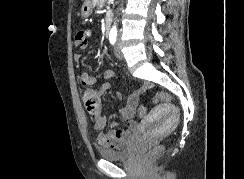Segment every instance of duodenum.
<instances>
[{
  "label": "duodenum",
  "mask_w": 244,
  "mask_h": 179,
  "mask_svg": "<svg viewBox=\"0 0 244 179\" xmlns=\"http://www.w3.org/2000/svg\"><path fill=\"white\" fill-rule=\"evenodd\" d=\"M110 25H111V21H110V16L109 14H107L105 16V19H104V24H103V30H104V33L107 35L110 31Z\"/></svg>",
  "instance_id": "duodenum-1"
}]
</instances>
